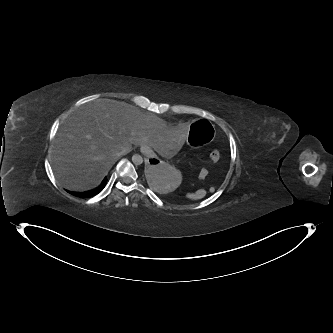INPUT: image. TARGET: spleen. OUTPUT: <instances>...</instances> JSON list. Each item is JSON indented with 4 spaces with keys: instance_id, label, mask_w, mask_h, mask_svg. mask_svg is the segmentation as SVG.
Masks as SVG:
<instances>
[{
    "instance_id": "obj_1",
    "label": "spleen",
    "mask_w": 333,
    "mask_h": 333,
    "mask_svg": "<svg viewBox=\"0 0 333 333\" xmlns=\"http://www.w3.org/2000/svg\"><path fill=\"white\" fill-rule=\"evenodd\" d=\"M204 196H205V192L202 190L197 191L196 194L190 195L191 198H202Z\"/></svg>"
}]
</instances>
